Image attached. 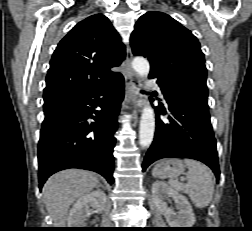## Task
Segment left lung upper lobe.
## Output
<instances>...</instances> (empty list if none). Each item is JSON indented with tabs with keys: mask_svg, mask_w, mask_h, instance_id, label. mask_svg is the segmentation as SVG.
<instances>
[{
	"mask_svg": "<svg viewBox=\"0 0 252 231\" xmlns=\"http://www.w3.org/2000/svg\"><path fill=\"white\" fill-rule=\"evenodd\" d=\"M135 56L150 61V75H168L196 80L206 86L207 69L197 38L175 19L162 12H147L131 34Z\"/></svg>",
	"mask_w": 252,
	"mask_h": 231,
	"instance_id": "left-lung-upper-lobe-1",
	"label": "left lung upper lobe"
}]
</instances>
